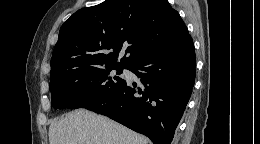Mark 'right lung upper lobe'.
<instances>
[{
    "label": "right lung upper lobe",
    "instance_id": "right-lung-upper-lobe-1",
    "mask_svg": "<svg viewBox=\"0 0 260 144\" xmlns=\"http://www.w3.org/2000/svg\"><path fill=\"white\" fill-rule=\"evenodd\" d=\"M188 35L179 13L167 0H105L78 10L61 26L50 77L87 67H128ZM121 51L125 55L116 63Z\"/></svg>",
    "mask_w": 260,
    "mask_h": 144
}]
</instances>
